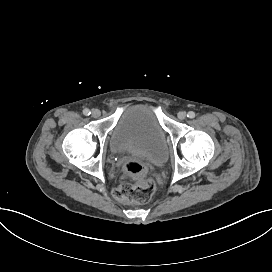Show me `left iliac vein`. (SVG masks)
Here are the masks:
<instances>
[{
  "label": "left iliac vein",
  "mask_w": 272,
  "mask_h": 272,
  "mask_svg": "<svg viewBox=\"0 0 272 272\" xmlns=\"http://www.w3.org/2000/svg\"><path fill=\"white\" fill-rule=\"evenodd\" d=\"M178 118L180 119V120H183V119H185L186 118V113L185 112H183V111H181V112H179L178 113Z\"/></svg>",
  "instance_id": "left-iliac-vein-1"
}]
</instances>
